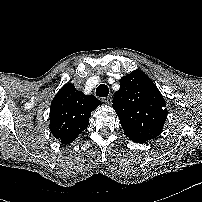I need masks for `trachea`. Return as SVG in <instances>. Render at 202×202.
Wrapping results in <instances>:
<instances>
[{
    "label": "trachea",
    "mask_w": 202,
    "mask_h": 202,
    "mask_svg": "<svg viewBox=\"0 0 202 202\" xmlns=\"http://www.w3.org/2000/svg\"><path fill=\"white\" fill-rule=\"evenodd\" d=\"M109 94V89L105 84H100L96 89V96L107 97Z\"/></svg>",
    "instance_id": "3493384b"
}]
</instances>
